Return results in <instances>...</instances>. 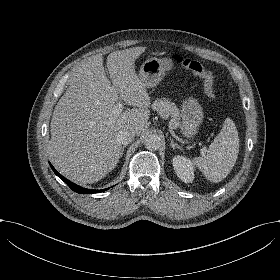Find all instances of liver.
<instances>
[{
	"label": "liver",
	"mask_w": 280,
	"mask_h": 280,
	"mask_svg": "<svg viewBox=\"0 0 280 280\" xmlns=\"http://www.w3.org/2000/svg\"><path fill=\"white\" fill-rule=\"evenodd\" d=\"M145 49L110 53L107 69L112 82L101 55L88 58L72 73L53 111L48 147L54 165L69 179L92 184L104 178L121 157L116 134L129 130L139 136L150 124V96L134 68ZM122 101L134 108L120 110Z\"/></svg>",
	"instance_id": "liver-1"
}]
</instances>
